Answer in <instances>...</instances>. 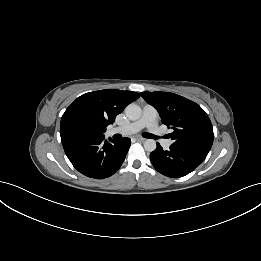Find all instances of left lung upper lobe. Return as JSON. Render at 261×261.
Instances as JSON below:
<instances>
[{
    "label": "left lung upper lobe",
    "mask_w": 261,
    "mask_h": 261,
    "mask_svg": "<svg viewBox=\"0 0 261 261\" xmlns=\"http://www.w3.org/2000/svg\"><path fill=\"white\" fill-rule=\"evenodd\" d=\"M141 96L157 109L163 124L173 128V144L211 149L213 127L198 104L169 92H142Z\"/></svg>",
    "instance_id": "obj_1"
}]
</instances>
